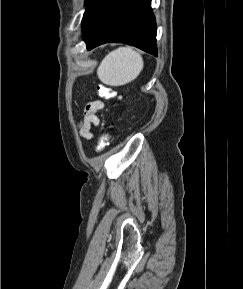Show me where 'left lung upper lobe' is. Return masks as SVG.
<instances>
[{
    "mask_svg": "<svg viewBox=\"0 0 243 289\" xmlns=\"http://www.w3.org/2000/svg\"><path fill=\"white\" fill-rule=\"evenodd\" d=\"M90 0H85V5L89 2Z\"/></svg>",
    "mask_w": 243,
    "mask_h": 289,
    "instance_id": "obj_1",
    "label": "left lung upper lobe"
}]
</instances>
